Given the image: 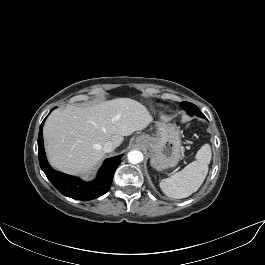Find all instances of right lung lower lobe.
<instances>
[{
    "mask_svg": "<svg viewBox=\"0 0 265 265\" xmlns=\"http://www.w3.org/2000/svg\"><path fill=\"white\" fill-rule=\"evenodd\" d=\"M44 122L45 119L39 129L38 156L40 167L49 181L60 193L73 199L92 200L104 195L111 186L114 172L121 163L122 155L105 160L98 172L97 178L91 182H84L77 177L55 171L49 165L44 151L42 134Z\"/></svg>",
    "mask_w": 265,
    "mask_h": 265,
    "instance_id": "right-lung-lower-lobe-1",
    "label": "right lung lower lobe"
}]
</instances>
